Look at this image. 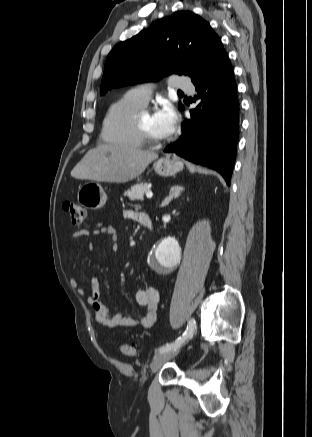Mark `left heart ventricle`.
<instances>
[{
    "instance_id": "obj_1",
    "label": "left heart ventricle",
    "mask_w": 312,
    "mask_h": 437,
    "mask_svg": "<svg viewBox=\"0 0 312 437\" xmlns=\"http://www.w3.org/2000/svg\"><path fill=\"white\" fill-rule=\"evenodd\" d=\"M141 124L143 128L155 139L157 140H164L166 139V136L163 135L155 122L154 115L147 113L143 114L140 118Z\"/></svg>"
}]
</instances>
